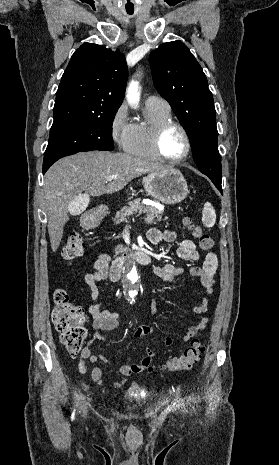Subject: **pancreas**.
Instances as JSON below:
<instances>
[{
	"label": "pancreas",
	"instance_id": "1",
	"mask_svg": "<svg viewBox=\"0 0 279 465\" xmlns=\"http://www.w3.org/2000/svg\"><path fill=\"white\" fill-rule=\"evenodd\" d=\"M140 199L133 200L128 203V206H124L118 212H116L113 222L120 224L121 222L127 221L130 216L134 214H146L145 222L148 224L156 223L162 220L163 212L158 210L154 206L143 205ZM115 253H118V249H115Z\"/></svg>",
	"mask_w": 279,
	"mask_h": 465
}]
</instances>
